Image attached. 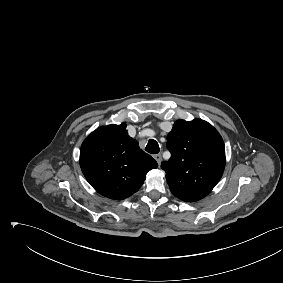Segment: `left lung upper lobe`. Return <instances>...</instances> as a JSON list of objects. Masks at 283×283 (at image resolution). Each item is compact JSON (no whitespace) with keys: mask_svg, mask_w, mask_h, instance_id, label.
<instances>
[{"mask_svg":"<svg viewBox=\"0 0 283 283\" xmlns=\"http://www.w3.org/2000/svg\"><path fill=\"white\" fill-rule=\"evenodd\" d=\"M168 161L161 163L174 196L196 202L207 196L222 177L225 148L222 137L208 122L178 120L167 136Z\"/></svg>","mask_w":283,"mask_h":283,"instance_id":"1","label":"left lung upper lobe"}]
</instances>
